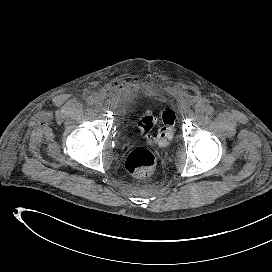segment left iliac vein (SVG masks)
Instances as JSON below:
<instances>
[{"mask_svg": "<svg viewBox=\"0 0 272 272\" xmlns=\"http://www.w3.org/2000/svg\"><path fill=\"white\" fill-rule=\"evenodd\" d=\"M205 113V107L203 105H198L196 107V114H195V119H198L202 117V115Z\"/></svg>", "mask_w": 272, "mask_h": 272, "instance_id": "obj_1", "label": "left iliac vein"}]
</instances>
